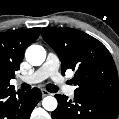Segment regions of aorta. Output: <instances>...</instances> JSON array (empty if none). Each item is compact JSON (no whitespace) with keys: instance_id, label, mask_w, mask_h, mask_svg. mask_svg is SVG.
<instances>
[{"instance_id":"obj_1","label":"aorta","mask_w":119,"mask_h":119,"mask_svg":"<svg viewBox=\"0 0 119 119\" xmlns=\"http://www.w3.org/2000/svg\"><path fill=\"white\" fill-rule=\"evenodd\" d=\"M26 60L33 66L41 65L46 58V51L40 45H31L25 52ZM42 105L47 111H54L57 108V100L55 97L47 96L43 99Z\"/></svg>"}]
</instances>
